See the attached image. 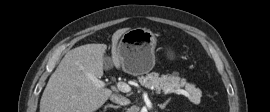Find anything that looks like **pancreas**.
I'll return each instance as SVG.
<instances>
[{"label":"pancreas","mask_w":270,"mask_h":112,"mask_svg":"<svg viewBox=\"0 0 270 112\" xmlns=\"http://www.w3.org/2000/svg\"><path fill=\"white\" fill-rule=\"evenodd\" d=\"M140 84L146 88H153L157 91H164L171 89H180L185 87L188 92L189 100L194 104H199L201 101V90L196 88L193 84L186 83V80L180 78L178 73H173L171 75H159L156 72L147 74L146 76H141L138 78Z\"/></svg>","instance_id":"cf45deb5"}]
</instances>
